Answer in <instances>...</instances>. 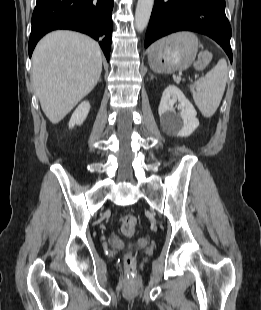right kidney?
<instances>
[{
	"label": "right kidney",
	"instance_id": "right-kidney-1",
	"mask_svg": "<svg viewBox=\"0 0 261 310\" xmlns=\"http://www.w3.org/2000/svg\"><path fill=\"white\" fill-rule=\"evenodd\" d=\"M89 111L90 103L88 101L80 103L71 116L69 128H73L75 125H81L85 121Z\"/></svg>",
	"mask_w": 261,
	"mask_h": 310
}]
</instances>
